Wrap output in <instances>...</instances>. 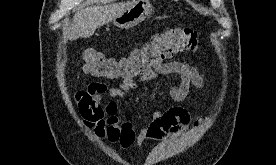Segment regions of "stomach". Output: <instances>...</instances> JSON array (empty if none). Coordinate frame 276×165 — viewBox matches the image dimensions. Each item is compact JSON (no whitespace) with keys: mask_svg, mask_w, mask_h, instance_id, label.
I'll use <instances>...</instances> for the list:
<instances>
[{"mask_svg":"<svg viewBox=\"0 0 276 165\" xmlns=\"http://www.w3.org/2000/svg\"><path fill=\"white\" fill-rule=\"evenodd\" d=\"M153 12L149 0H137L128 10L113 19V23L120 29L132 28L146 19Z\"/></svg>","mask_w":276,"mask_h":165,"instance_id":"0dacf381","label":"stomach"}]
</instances>
